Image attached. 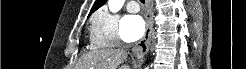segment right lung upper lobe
Here are the masks:
<instances>
[{
  "label": "right lung upper lobe",
  "mask_w": 246,
  "mask_h": 69,
  "mask_svg": "<svg viewBox=\"0 0 246 69\" xmlns=\"http://www.w3.org/2000/svg\"><path fill=\"white\" fill-rule=\"evenodd\" d=\"M107 0H96L94 5L91 8L90 14L97 10L99 7L103 6ZM89 14V16H90Z\"/></svg>",
  "instance_id": "cb5924a9"
}]
</instances>
